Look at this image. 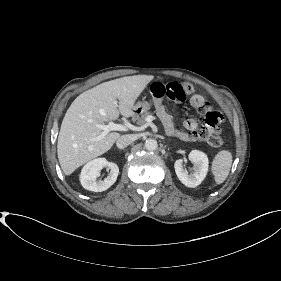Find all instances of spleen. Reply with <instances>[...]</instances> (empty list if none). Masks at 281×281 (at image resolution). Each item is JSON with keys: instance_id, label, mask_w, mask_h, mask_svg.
I'll return each instance as SVG.
<instances>
[{"instance_id": "3e777b00", "label": "spleen", "mask_w": 281, "mask_h": 281, "mask_svg": "<svg viewBox=\"0 0 281 281\" xmlns=\"http://www.w3.org/2000/svg\"><path fill=\"white\" fill-rule=\"evenodd\" d=\"M232 161V154L228 150H221L216 154L211 166L216 184H221L226 180L231 169Z\"/></svg>"}]
</instances>
